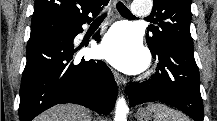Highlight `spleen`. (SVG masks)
I'll return each mask as SVG.
<instances>
[{
	"instance_id": "obj_1",
	"label": "spleen",
	"mask_w": 217,
	"mask_h": 121,
	"mask_svg": "<svg viewBox=\"0 0 217 121\" xmlns=\"http://www.w3.org/2000/svg\"><path fill=\"white\" fill-rule=\"evenodd\" d=\"M148 109L154 112L155 121H189L181 112L163 104H152L148 106Z\"/></svg>"
}]
</instances>
